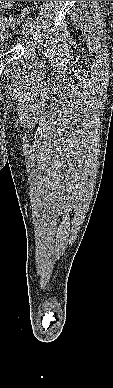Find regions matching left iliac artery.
<instances>
[{"label":"left iliac artery","instance_id":"44dca946","mask_svg":"<svg viewBox=\"0 0 113 388\" xmlns=\"http://www.w3.org/2000/svg\"><path fill=\"white\" fill-rule=\"evenodd\" d=\"M26 22L30 25L34 24V20L32 18H27Z\"/></svg>","mask_w":113,"mask_h":388}]
</instances>
